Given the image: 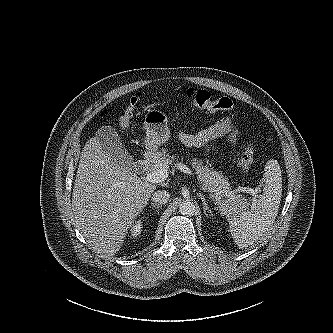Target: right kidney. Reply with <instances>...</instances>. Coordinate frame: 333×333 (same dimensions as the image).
Masks as SVG:
<instances>
[{"label": "right kidney", "instance_id": "right-kidney-1", "mask_svg": "<svg viewBox=\"0 0 333 333\" xmlns=\"http://www.w3.org/2000/svg\"><path fill=\"white\" fill-rule=\"evenodd\" d=\"M142 221L138 220L137 222H135V224L133 225L132 229H131V235L135 238H137L138 236H140L143 225H142Z\"/></svg>", "mask_w": 333, "mask_h": 333}]
</instances>
